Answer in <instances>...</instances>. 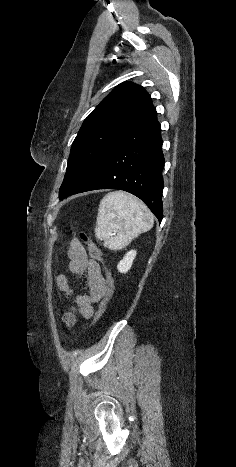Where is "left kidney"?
<instances>
[{
	"label": "left kidney",
	"instance_id": "left-kidney-1",
	"mask_svg": "<svg viewBox=\"0 0 236 467\" xmlns=\"http://www.w3.org/2000/svg\"><path fill=\"white\" fill-rule=\"evenodd\" d=\"M136 257V251L131 250L125 254L123 259L118 263L117 269L120 273H126L130 270L133 260Z\"/></svg>",
	"mask_w": 236,
	"mask_h": 467
}]
</instances>
